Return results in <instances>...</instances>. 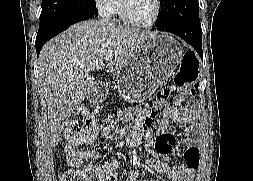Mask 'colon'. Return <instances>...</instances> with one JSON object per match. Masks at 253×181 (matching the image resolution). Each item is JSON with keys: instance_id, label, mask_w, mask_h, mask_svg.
Listing matches in <instances>:
<instances>
[{"instance_id": "obj_1", "label": "colon", "mask_w": 253, "mask_h": 181, "mask_svg": "<svg viewBox=\"0 0 253 181\" xmlns=\"http://www.w3.org/2000/svg\"><path fill=\"white\" fill-rule=\"evenodd\" d=\"M198 60L192 53H185L182 65L175 75L174 84L162 89L149 107L150 113L156 112V103L168 100L178 89L185 96L191 95L198 84ZM95 118L85 110L76 111L67 122L65 135L71 144H85L92 141L96 134ZM62 181H87V178L74 171L62 176Z\"/></svg>"}]
</instances>
